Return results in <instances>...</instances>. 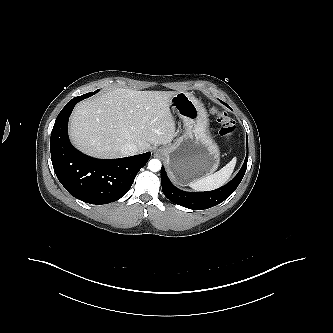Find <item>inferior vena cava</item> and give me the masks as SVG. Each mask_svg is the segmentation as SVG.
Masks as SVG:
<instances>
[{
    "mask_svg": "<svg viewBox=\"0 0 333 333\" xmlns=\"http://www.w3.org/2000/svg\"><path fill=\"white\" fill-rule=\"evenodd\" d=\"M120 151L123 156H131L139 152L137 145L133 143H126L122 145Z\"/></svg>",
    "mask_w": 333,
    "mask_h": 333,
    "instance_id": "inferior-vena-cava-1",
    "label": "inferior vena cava"
}]
</instances>
